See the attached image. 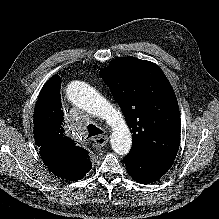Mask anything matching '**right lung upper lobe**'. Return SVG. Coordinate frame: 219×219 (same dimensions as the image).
I'll return each mask as SVG.
<instances>
[{"mask_svg":"<svg viewBox=\"0 0 219 219\" xmlns=\"http://www.w3.org/2000/svg\"><path fill=\"white\" fill-rule=\"evenodd\" d=\"M61 79L54 75L43 86L34 108V139L44 164L55 175L72 181L91 169L88 151L64 134Z\"/></svg>","mask_w":219,"mask_h":219,"instance_id":"1","label":"right lung upper lobe"}]
</instances>
